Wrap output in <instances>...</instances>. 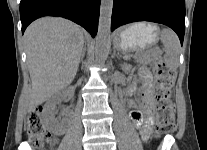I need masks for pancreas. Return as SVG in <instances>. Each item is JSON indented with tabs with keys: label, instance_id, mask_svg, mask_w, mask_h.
Instances as JSON below:
<instances>
[{
	"label": "pancreas",
	"instance_id": "obj_1",
	"mask_svg": "<svg viewBox=\"0 0 207 150\" xmlns=\"http://www.w3.org/2000/svg\"><path fill=\"white\" fill-rule=\"evenodd\" d=\"M131 56L140 64H148L155 57V53L152 51H143Z\"/></svg>",
	"mask_w": 207,
	"mask_h": 150
}]
</instances>
